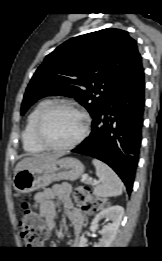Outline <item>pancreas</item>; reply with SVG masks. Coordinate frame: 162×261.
Listing matches in <instances>:
<instances>
[{
  "label": "pancreas",
  "instance_id": "cf45deb5",
  "mask_svg": "<svg viewBox=\"0 0 162 261\" xmlns=\"http://www.w3.org/2000/svg\"><path fill=\"white\" fill-rule=\"evenodd\" d=\"M87 184H89L90 182L88 180L85 181Z\"/></svg>",
  "mask_w": 162,
  "mask_h": 261
}]
</instances>
